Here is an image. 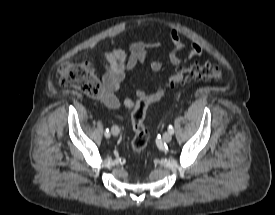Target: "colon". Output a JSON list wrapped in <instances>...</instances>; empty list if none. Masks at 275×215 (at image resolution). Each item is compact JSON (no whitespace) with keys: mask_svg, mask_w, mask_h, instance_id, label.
<instances>
[{"mask_svg":"<svg viewBox=\"0 0 275 215\" xmlns=\"http://www.w3.org/2000/svg\"><path fill=\"white\" fill-rule=\"evenodd\" d=\"M59 72L64 86L79 89L90 98H98L101 95L102 86L90 62H64ZM224 77L225 71L220 66L210 62L197 63L179 69L165 81V86L173 88L194 80H223ZM162 96L163 88L159 87L152 94L140 98L132 112V151L136 156L141 155L149 140V131L144 124L147 109Z\"/></svg>","mask_w":275,"mask_h":215,"instance_id":"obj_1","label":"colon"}]
</instances>
